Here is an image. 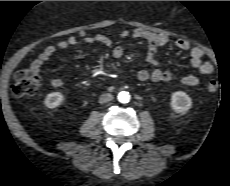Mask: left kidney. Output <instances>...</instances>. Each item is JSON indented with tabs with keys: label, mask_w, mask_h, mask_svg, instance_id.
<instances>
[{
	"label": "left kidney",
	"mask_w": 230,
	"mask_h": 186,
	"mask_svg": "<svg viewBox=\"0 0 230 186\" xmlns=\"http://www.w3.org/2000/svg\"><path fill=\"white\" fill-rule=\"evenodd\" d=\"M171 106L177 113L184 114L192 106V100L185 92L177 91L172 94Z\"/></svg>",
	"instance_id": "left-kidney-1"
}]
</instances>
